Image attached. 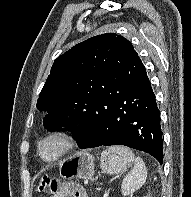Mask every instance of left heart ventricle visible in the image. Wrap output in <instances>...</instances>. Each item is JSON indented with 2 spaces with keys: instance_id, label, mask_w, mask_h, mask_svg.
I'll list each match as a JSON object with an SVG mask.
<instances>
[{
  "instance_id": "left-heart-ventricle-1",
  "label": "left heart ventricle",
  "mask_w": 191,
  "mask_h": 197,
  "mask_svg": "<svg viewBox=\"0 0 191 197\" xmlns=\"http://www.w3.org/2000/svg\"><path fill=\"white\" fill-rule=\"evenodd\" d=\"M60 145L57 141H49L44 144L43 146V153L45 156L50 157L56 154V152L59 150Z\"/></svg>"
}]
</instances>
